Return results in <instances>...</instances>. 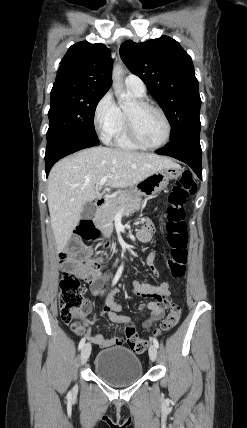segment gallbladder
<instances>
[{"label":"gallbladder","mask_w":247,"mask_h":428,"mask_svg":"<svg viewBox=\"0 0 247 428\" xmlns=\"http://www.w3.org/2000/svg\"><path fill=\"white\" fill-rule=\"evenodd\" d=\"M95 212H96V207H95L94 203L87 202L83 205L81 217L83 219H91L94 217Z\"/></svg>","instance_id":"gallbladder-1"}]
</instances>
